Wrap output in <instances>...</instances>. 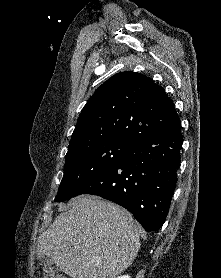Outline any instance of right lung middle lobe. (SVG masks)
<instances>
[{
    "label": "right lung middle lobe",
    "instance_id": "1",
    "mask_svg": "<svg viewBox=\"0 0 221 278\" xmlns=\"http://www.w3.org/2000/svg\"><path fill=\"white\" fill-rule=\"evenodd\" d=\"M131 143L122 139H95L69 149L64 176L54 201L74 197L77 190L121 159Z\"/></svg>",
    "mask_w": 221,
    "mask_h": 278
}]
</instances>
